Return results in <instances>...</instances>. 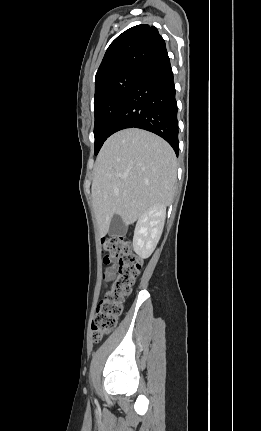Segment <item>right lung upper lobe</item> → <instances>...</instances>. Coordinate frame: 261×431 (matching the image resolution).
I'll use <instances>...</instances> for the list:
<instances>
[{
	"mask_svg": "<svg viewBox=\"0 0 261 431\" xmlns=\"http://www.w3.org/2000/svg\"><path fill=\"white\" fill-rule=\"evenodd\" d=\"M167 52L158 30L149 25L134 26L120 34L108 47L95 77V88L127 71H140Z\"/></svg>",
	"mask_w": 261,
	"mask_h": 431,
	"instance_id": "right-lung-upper-lobe-1",
	"label": "right lung upper lobe"
}]
</instances>
